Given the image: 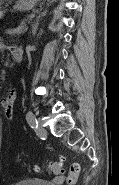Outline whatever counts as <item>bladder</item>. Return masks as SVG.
Instances as JSON below:
<instances>
[{"label": "bladder", "mask_w": 119, "mask_h": 185, "mask_svg": "<svg viewBox=\"0 0 119 185\" xmlns=\"http://www.w3.org/2000/svg\"><path fill=\"white\" fill-rule=\"evenodd\" d=\"M12 185H49V184L46 181L40 179L29 178L17 181Z\"/></svg>", "instance_id": "obj_1"}]
</instances>
